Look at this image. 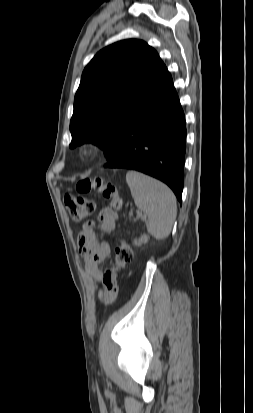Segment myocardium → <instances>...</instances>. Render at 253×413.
<instances>
[{
	"label": "myocardium",
	"instance_id": "obj_1",
	"mask_svg": "<svg viewBox=\"0 0 253 413\" xmlns=\"http://www.w3.org/2000/svg\"><path fill=\"white\" fill-rule=\"evenodd\" d=\"M98 150V147L93 142L84 143L80 148V154L83 158L93 157Z\"/></svg>",
	"mask_w": 253,
	"mask_h": 413
}]
</instances>
